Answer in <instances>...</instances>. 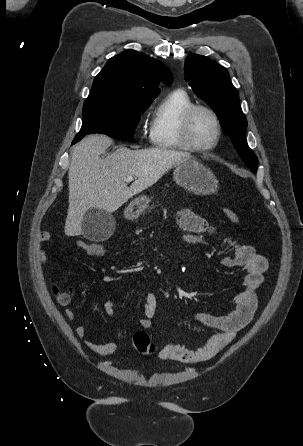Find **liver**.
<instances>
[{
    "instance_id": "1",
    "label": "liver",
    "mask_w": 303,
    "mask_h": 446,
    "mask_svg": "<svg viewBox=\"0 0 303 446\" xmlns=\"http://www.w3.org/2000/svg\"><path fill=\"white\" fill-rule=\"evenodd\" d=\"M105 135H89L73 150L69 167V208L64 232L82 233V220L92 208L116 211L134 195L156 183L171 167L190 159L188 153L166 150H130L120 147L105 159L100 155L111 145ZM136 180L130 187L126 178Z\"/></svg>"
}]
</instances>
